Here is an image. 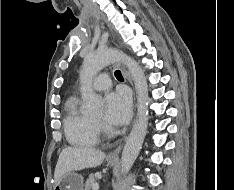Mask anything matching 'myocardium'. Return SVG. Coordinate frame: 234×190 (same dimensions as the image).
I'll return each instance as SVG.
<instances>
[{"mask_svg":"<svg viewBox=\"0 0 234 190\" xmlns=\"http://www.w3.org/2000/svg\"><path fill=\"white\" fill-rule=\"evenodd\" d=\"M94 122L97 126H100V127L102 126V122L100 120L95 119Z\"/></svg>","mask_w":234,"mask_h":190,"instance_id":"f54148a6","label":"myocardium"}]
</instances>
